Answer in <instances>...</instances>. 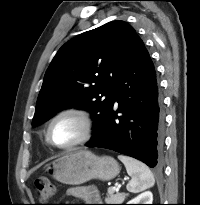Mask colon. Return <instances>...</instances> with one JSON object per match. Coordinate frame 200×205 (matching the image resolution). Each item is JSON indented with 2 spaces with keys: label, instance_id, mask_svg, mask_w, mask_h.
Returning <instances> with one entry per match:
<instances>
[{
  "label": "colon",
  "instance_id": "obj_1",
  "mask_svg": "<svg viewBox=\"0 0 200 205\" xmlns=\"http://www.w3.org/2000/svg\"><path fill=\"white\" fill-rule=\"evenodd\" d=\"M38 197L41 201L47 202L53 199L56 195V187L46 177L38 178L35 182ZM47 205V204H43Z\"/></svg>",
  "mask_w": 200,
  "mask_h": 205
}]
</instances>
